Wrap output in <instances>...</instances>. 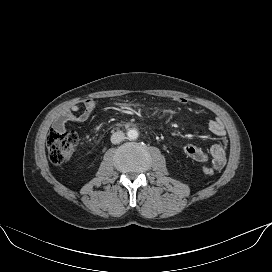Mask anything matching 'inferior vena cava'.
<instances>
[{
    "label": "inferior vena cava",
    "instance_id": "inferior-vena-cava-1",
    "mask_svg": "<svg viewBox=\"0 0 272 272\" xmlns=\"http://www.w3.org/2000/svg\"><path fill=\"white\" fill-rule=\"evenodd\" d=\"M125 138V135L122 131H117L115 133L112 134L111 136V142L113 144H117L120 143L121 141H123Z\"/></svg>",
    "mask_w": 272,
    "mask_h": 272
}]
</instances>
